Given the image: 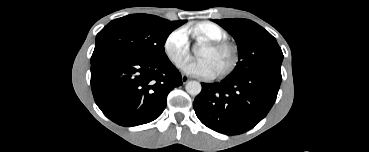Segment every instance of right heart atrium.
<instances>
[{
	"label": "right heart atrium",
	"instance_id": "d8ad5b80",
	"mask_svg": "<svg viewBox=\"0 0 369 152\" xmlns=\"http://www.w3.org/2000/svg\"><path fill=\"white\" fill-rule=\"evenodd\" d=\"M164 51L170 62L177 67L189 57V38L184 28H177L167 36Z\"/></svg>",
	"mask_w": 369,
	"mask_h": 152
}]
</instances>
